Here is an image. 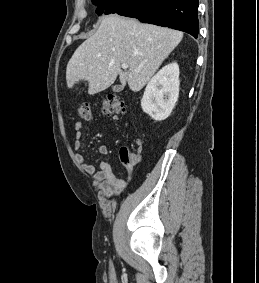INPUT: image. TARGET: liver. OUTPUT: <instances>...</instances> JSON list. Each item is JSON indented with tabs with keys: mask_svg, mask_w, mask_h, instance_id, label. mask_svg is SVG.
<instances>
[{
	"mask_svg": "<svg viewBox=\"0 0 259 283\" xmlns=\"http://www.w3.org/2000/svg\"><path fill=\"white\" fill-rule=\"evenodd\" d=\"M182 38L183 33L174 29L119 15L105 16L96 33L69 60L67 85L72 88L87 81L88 94L94 95L111 86L119 75L123 87L127 83L132 91H140ZM124 63L129 69L122 71Z\"/></svg>",
	"mask_w": 259,
	"mask_h": 283,
	"instance_id": "obj_1",
	"label": "liver"
}]
</instances>
